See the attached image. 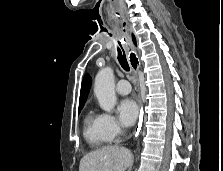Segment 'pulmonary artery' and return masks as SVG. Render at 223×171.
<instances>
[{"mask_svg":"<svg viewBox=\"0 0 223 171\" xmlns=\"http://www.w3.org/2000/svg\"><path fill=\"white\" fill-rule=\"evenodd\" d=\"M116 91L120 95H127L131 92V85L125 79H121L116 84Z\"/></svg>","mask_w":223,"mask_h":171,"instance_id":"1","label":"pulmonary artery"}]
</instances>
